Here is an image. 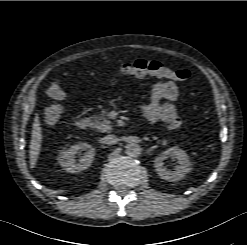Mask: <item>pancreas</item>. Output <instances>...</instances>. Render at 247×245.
I'll list each match as a JSON object with an SVG mask.
<instances>
[{"label":"pancreas","mask_w":247,"mask_h":245,"mask_svg":"<svg viewBox=\"0 0 247 245\" xmlns=\"http://www.w3.org/2000/svg\"><path fill=\"white\" fill-rule=\"evenodd\" d=\"M92 127L99 132H110L113 129L106 110H102L100 115L92 117Z\"/></svg>","instance_id":"cf45deb5"}]
</instances>
